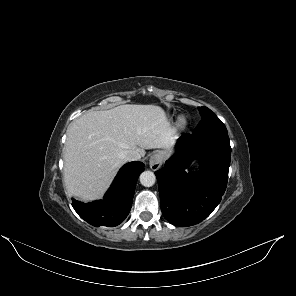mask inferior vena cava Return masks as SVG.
<instances>
[{
  "label": "inferior vena cava",
  "mask_w": 296,
  "mask_h": 296,
  "mask_svg": "<svg viewBox=\"0 0 296 296\" xmlns=\"http://www.w3.org/2000/svg\"><path fill=\"white\" fill-rule=\"evenodd\" d=\"M122 157L125 161H136L141 158V155L136 151H125L122 153Z\"/></svg>",
  "instance_id": "1"
}]
</instances>
